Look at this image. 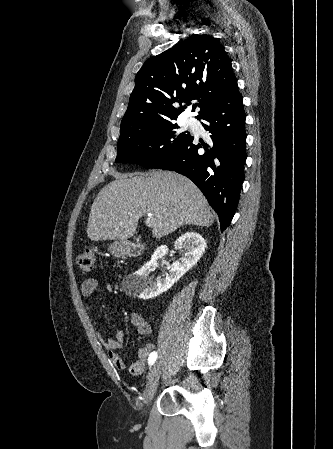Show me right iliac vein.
<instances>
[{
  "label": "right iliac vein",
  "mask_w": 333,
  "mask_h": 449,
  "mask_svg": "<svg viewBox=\"0 0 333 449\" xmlns=\"http://www.w3.org/2000/svg\"><path fill=\"white\" fill-rule=\"evenodd\" d=\"M159 363L157 362L151 371L146 389L144 392V403L148 406L154 398L159 381Z\"/></svg>",
  "instance_id": "63e3f726"
}]
</instances>
